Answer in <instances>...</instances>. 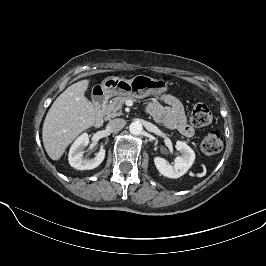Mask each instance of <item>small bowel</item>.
<instances>
[{
  "label": "small bowel",
  "instance_id": "c3829d8e",
  "mask_svg": "<svg viewBox=\"0 0 266 266\" xmlns=\"http://www.w3.org/2000/svg\"><path fill=\"white\" fill-rule=\"evenodd\" d=\"M147 112L170 129L178 130L185 137H192L194 129L188 124L182 102L173 95H165L159 101L147 105Z\"/></svg>",
  "mask_w": 266,
  "mask_h": 266
}]
</instances>
